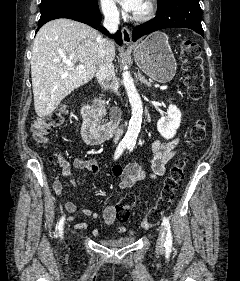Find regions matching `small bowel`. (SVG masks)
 Wrapping results in <instances>:
<instances>
[{
    "instance_id": "c3829d8e",
    "label": "small bowel",
    "mask_w": 240,
    "mask_h": 281,
    "mask_svg": "<svg viewBox=\"0 0 240 281\" xmlns=\"http://www.w3.org/2000/svg\"><path fill=\"white\" fill-rule=\"evenodd\" d=\"M151 152L153 155V159L151 162V171L149 174L136 163H131L126 166L115 165L112 168L113 174L120 178L119 188L123 191L126 190H141L140 183L145 180L147 177L157 178L162 176L166 170V164L176 155L179 149V138L172 139L170 141H162L160 139H156L151 144ZM58 163L61 167L62 176L74 187L76 188L75 180L72 177V167L79 170H86L92 174L99 175L101 173L100 167L98 163L94 159H84L77 157L70 163L63 156L58 157ZM53 189L56 195H61L63 190V185L60 180H55L53 182ZM64 208L70 212L74 213L78 210L77 206L72 202H64ZM82 214L91 218H98L99 214L91 209H81ZM102 218L105 224L112 225L116 221V211L115 205L107 206L103 213ZM73 220L72 217L69 218ZM77 229H87L86 223H77L75 225ZM117 232L120 234L127 233L128 230L119 226L117 228ZM93 235L97 236L98 231L93 230Z\"/></svg>"
}]
</instances>
